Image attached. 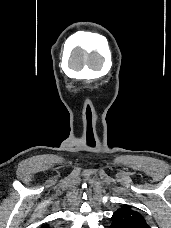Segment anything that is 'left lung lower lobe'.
Returning a JSON list of instances; mask_svg holds the SVG:
<instances>
[{
  "label": "left lung lower lobe",
  "mask_w": 171,
  "mask_h": 228,
  "mask_svg": "<svg viewBox=\"0 0 171 228\" xmlns=\"http://www.w3.org/2000/svg\"><path fill=\"white\" fill-rule=\"evenodd\" d=\"M110 228H150V227L147 223L127 221L119 225L112 223Z\"/></svg>",
  "instance_id": "obj_1"
}]
</instances>
